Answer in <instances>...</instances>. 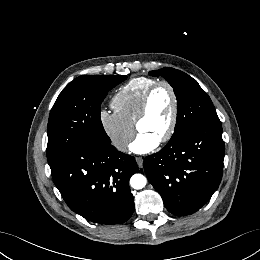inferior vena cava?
Here are the masks:
<instances>
[{
  "label": "inferior vena cava",
  "instance_id": "obj_1",
  "mask_svg": "<svg viewBox=\"0 0 260 260\" xmlns=\"http://www.w3.org/2000/svg\"><path fill=\"white\" fill-rule=\"evenodd\" d=\"M127 145H128V143L124 140H120V141L115 142V147L118 150H124L127 147Z\"/></svg>",
  "mask_w": 260,
  "mask_h": 260
}]
</instances>
